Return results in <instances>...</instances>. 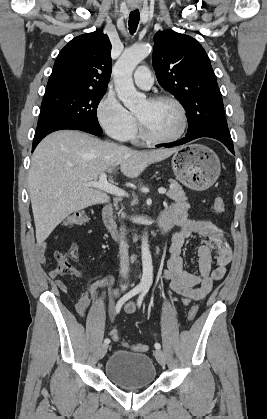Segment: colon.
I'll list each match as a JSON object with an SVG mask.
<instances>
[{
  "label": "colon",
  "mask_w": 267,
  "mask_h": 419,
  "mask_svg": "<svg viewBox=\"0 0 267 419\" xmlns=\"http://www.w3.org/2000/svg\"><path fill=\"white\" fill-rule=\"evenodd\" d=\"M214 211L217 214H222L225 211V203L222 198H216L213 203ZM89 220V216L85 211L78 210L69 214L63 221V225L67 227L83 225ZM55 260L57 262V271L61 275H74L77 270L74 268L72 263L70 262L67 255L57 252L54 255ZM198 312V306H192L188 311V320H193ZM111 336L114 340H119L118 333L115 329L111 330ZM126 344V343H125ZM127 345V344H126ZM130 347L137 352H145L147 351V346L141 343L131 344Z\"/></svg>",
  "instance_id": "1"
}]
</instances>
